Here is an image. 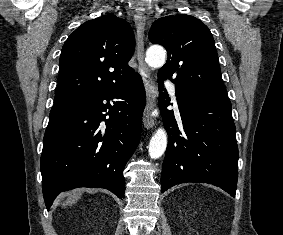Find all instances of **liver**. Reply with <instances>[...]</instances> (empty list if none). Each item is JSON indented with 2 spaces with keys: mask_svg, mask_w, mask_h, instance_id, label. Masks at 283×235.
<instances>
[{
  "mask_svg": "<svg viewBox=\"0 0 283 235\" xmlns=\"http://www.w3.org/2000/svg\"><path fill=\"white\" fill-rule=\"evenodd\" d=\"M82 190L81 189H76L73 190L72 192H69L67 194V200L63 203L64 206H71L75 204L81 197L82 195Z\"/></svg>",
  "mask_w": 283,
  "mask_h": 235,
  "instance_id": "1",
  "label": "liver"
}]
</instances>
